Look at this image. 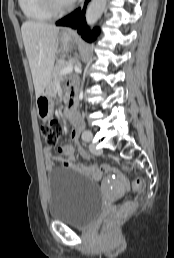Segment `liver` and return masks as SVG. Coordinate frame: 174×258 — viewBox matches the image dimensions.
I'll return each mask as SVG.
<instances>
[{"instance_id":"1","label":"liver","mask_w":174,"mask_h":258,"mask_svg":"<svg viewBox=\"0 0 174 258\" xmlns=\"http://www.w3.org/2000/svg\"><path fill=\"white\" fill-rule=\"evenodd\" d=\"M21 32L32 73L35 95L38 98L50 82L59 27L26 21L22 24Z\"/></svg>"}]
</instances>
